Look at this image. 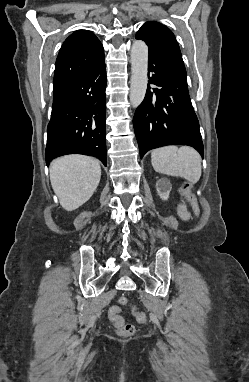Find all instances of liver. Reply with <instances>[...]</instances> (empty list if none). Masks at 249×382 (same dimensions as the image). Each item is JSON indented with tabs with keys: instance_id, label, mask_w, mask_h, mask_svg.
<instances>
[{
	"instance_id": "6515ba94",
	"label": "liver",
	"mask_w": 249,
	"mask_h": 382,
	"mask_svg": "<svg viewBox=\"0 0 249 382\" xmlns=\"http://www.w3.org/2000/svg\"><path fill=\"white\" fill-rule=\"evenodd\" d=\"M101 178L96 159L84 155H67L52 161L50 181L60 205L73 211L86 203L95 192Z\"/></svg>"
}]
</instances>
